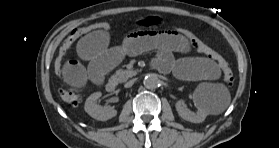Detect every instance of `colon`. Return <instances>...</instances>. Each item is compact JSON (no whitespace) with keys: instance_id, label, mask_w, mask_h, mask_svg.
<instances>
[{"instance_id":"obj_1","label":"colon","mask_w":279,"mask_h":148,"mask_svg":"<svg viewBox=\"0 0 279 148\" xmlns=\"http://www.w3.org/2000/svg\"><path fill=\"white\" fill-rule=\"evenodd\" d=\"M111 28L107 21H94L86 26L76 28L71 31L69 36L65 39L59 48L58 54L54 61L55 74L59 78H63V67L66 62V57L71 47L81 38L94 31H106ZM168 32L177 34L183 37L192 47L199 53L204 54L209 59L213 60L218 67L222 70L224 80L228 86L234 83V75L229 63L216 51L204 44L195 34L188 29L182 27H173ZM61 99L67 104L76 107L82 102V96L78 91L72 87H63L60 90Z\"/></svg>"}]
</instances>
